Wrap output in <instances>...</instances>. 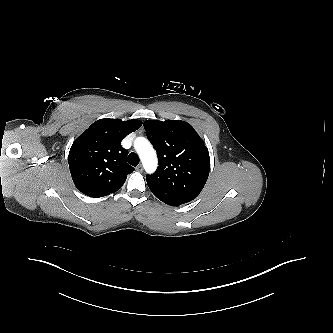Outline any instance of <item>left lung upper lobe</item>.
Returning <instances> with one entry per match:
<instances>
[{
  "instance_id": "1",
  "label": "left lung upper lobe",
  "mask_w": 333,
  "mask_h": 333,
  "mask_svg": "<svg viewBox=\"0 0 333 333\" xmlns=\"http://www.w3.org/2000/svg\"><path fill=\"white\" fill-rule=\"evenodd\" d=\"M144 128L158 155L156 172L146 177L152 193L162 202L195 199L210 170L208 149L197 132L182 120H147Z\"/></svg>"
}]
</instances>
